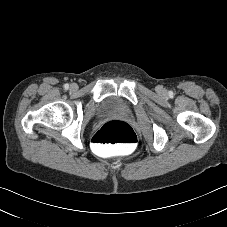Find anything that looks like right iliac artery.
I'll return each instance as SVG.
<instances>
[{"instance_id":"obj_1","label":"right iliac artery","mask_w":227,"mask_h":227,"mask_svg":"<svg viewBox=\"0 0 227 227\" xmlns=\"http://www.w3.org/2000/svg\"><path fill=\"white\" fill-rule=\"evenodd\" d=\"M64 88L67 90V89H69V84H65L64 85Z\"/></svg>"}]
</instances>
